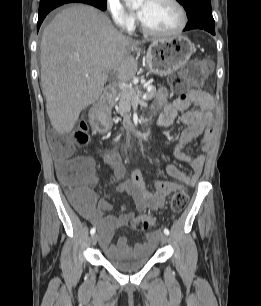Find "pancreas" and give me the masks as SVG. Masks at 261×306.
<instances>
[{
    "label": "pancreas",
    "mask_w": 261,
    "mask_h": 306,
    "mask_svg": "<svg viewBox=\"0 0 261 306\" xmlns=\"http://www.w3.org/2000/svg\"><path fill=\"white\" fill-rule=\"evenodd\" d=\"M149 90L145 93L146 99L151 100L156 95V87L152 85H148ZM143 96V92L138 87H132L129 91L120 90L118 94V110L117 112L122 116L126 117L130 111L132 106L137 105V98H141Z\"/></svg>",
    "instance_id": "1"
}]
</instances>
